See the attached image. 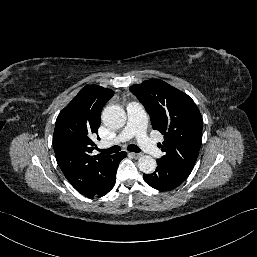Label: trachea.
I'll return each mask as SVG.
<instances>
[{
    "label": "trachea",
    "mask_w": 257,
    "mask_h": 257,
    "mask_svg": "<svg viewBox=\"0 0 257 257\" xmlns=\"http://www.w3.org/2000/svg\"><path fill=\"white\" fill-rule=\"evenodd\" d=\"M120 150H121L120 146L114 145V146H112V147H110L108 149H100V152L102 154H112V153H117ZM127 150L131 151V152H136V153L141 151L140 148L138 146L134 145V144L128 145Z\"/></svg>",
    "instance_id": "obj_1"
}]
</instances>
